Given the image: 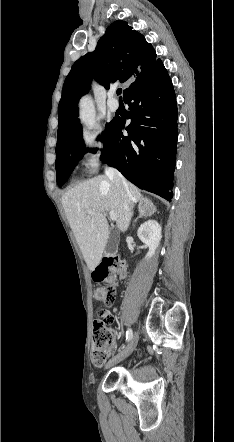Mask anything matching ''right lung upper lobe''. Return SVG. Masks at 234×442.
Instances as JSON below:
<instances>
[{
  "label": "right lung upper lobe",
  "instance_id": "right-lung-upper-lobe-1",
  "mask_svg": "<svg viewBox=\"0 0 234 442\" xmlns=\"http://www.w3.org/2000/svg\"><path fill=\"white\" fill-rule=\"evenodd\" d=\"M160 63L154 48L142 34L132 30L125 21L112 23L98 41L96 50L78 59L65 79L58 108L56 148L81 128L77 118L78 101L90 89L92 78L108 89L115 82L139 80Z\"/></svg>",
  "mask_w": 234,
  "mask_h": 442
}]
</instances>
